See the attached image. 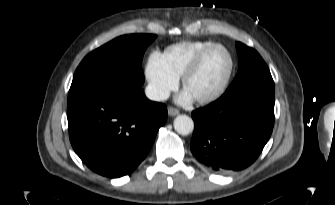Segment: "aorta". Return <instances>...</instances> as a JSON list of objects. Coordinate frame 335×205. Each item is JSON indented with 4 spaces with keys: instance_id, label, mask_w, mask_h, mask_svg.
Segmentation results:
<instances>
[{
    "instance_id": "obj_1",
    "label": "aorta",
    "mask_w": 335,
    "mask_h": 205,
    "mask_svg": "<svg viewBox=\"0 0 335 205\" xmlns=\"http://www.w3.org/2000/svg\"><path fill=\"white\" fill-rule=\"evenodd\" d=\"M174 129L181 135H188L194 129L193 120L187 115H179L174 120Z\"/></svg>"
}]
</instances>
